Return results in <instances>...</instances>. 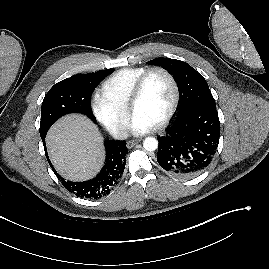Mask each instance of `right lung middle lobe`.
<instances>
[{
  "label": "right lung middle lobe",
  "mask_w": 269,
  "mask_h": 269,
  "mask_svg": "<svg viewBox=\"0 0 269 269\" xmlns=\"http://www.w3.org/2000/svg\"><path fill=\"white\" fill-rule=\"evenodd\" d=\"M113 68L89 74H78L56 83L41 106L40 136L45 138L51 125L68 113H82L95 122L90 108L91 94Z\"/></svg>",
  "instance_id": "1"
}]
</instances>
